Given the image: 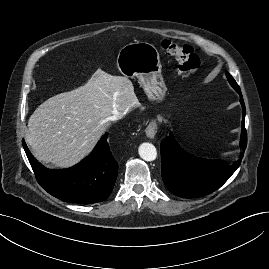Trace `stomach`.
I'll return each instance as SVG.
<instances>
[{
	"mask_svg": "<svg viewBox=\"0 0 269 269\" xmlns=\"http://www.w3.org/2000/svg\"><path fill=\"white\" fill-rule=\"evenodd\" d=\"M117 67L127 77H137L150 99H161L166 85L157 48L148 42L125 45L117 55Z\"/></svg>",
	"mask_w": 269,
	"mask_h": 269,
	"instance_id": "stomach-1",
	"label": "stomach"
}]
</instances>
